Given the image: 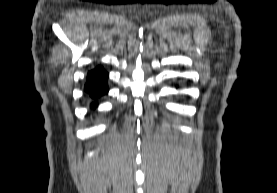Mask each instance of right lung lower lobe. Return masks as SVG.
I'll list each match as a JSON object with an SVG mask.
<instances>
[{
	"label": "right lung lower lobe",
	"mask_w": 277,
	"mask_h": 193,
	"mask_svg": "<svg viewBox=\"0 0 277 193\" xmlns=\"http://www.w3.org/2000/svg\"><path fill=\"white\" fill-rule=\"evenodd\" d=\"M107 78L108 73L100 66L88 73L85 91L92 99L96 100L97 97H100L108 92ZM95 107L96 104L92 103V108Z\"/></svg>",
	"instance_id": "98d812e1"
}]
</instances>
